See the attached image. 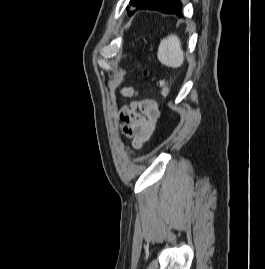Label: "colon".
<instances>
[{
	"mask_svg": "<svg viewBox=\"0 0 265 269\" xmlns=\"http://www.w3.org/2000/svg\"><path fill=\"white\" fill-rule=\"evenodd\" d=\"M158 85L163 95H166L169 93L170 88H169L168 82L165 79L159 80ZM128 132L131 133V130H128Z\"/></svg>",
	"mask_w": 265,
	"mask_h": 269,
	"instance_id": "colon-1",
	"label": "colon"
}]
</instances>
